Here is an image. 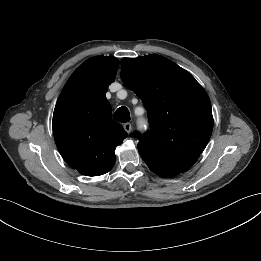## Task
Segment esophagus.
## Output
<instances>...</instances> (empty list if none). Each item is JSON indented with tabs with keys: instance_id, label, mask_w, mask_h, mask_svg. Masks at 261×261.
<instances>
[{
	"instance_id": "obj_1",
	"label": "esophagus",
	"mask_w": 261,
	"mask_h": 261,
	"mask_svg": "<svg viewBox=\"0 0 261 261\" xmlns=\"http://www.w3.org/2000/svg\"><path fill=\"white\" fill-rule=\"evenodd\" d=\"M123 127H124L125 131H126L128 134L131 133V131H132V125H131V123H129V122L125 123V124L123 125Z\"/></svg>"
}]
</instances>
